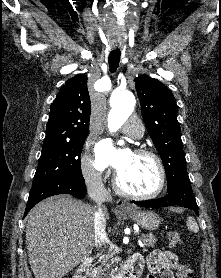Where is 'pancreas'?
Wrapping results in <instances>:
<instances>
[{
    "label": "pancreas",
    "instance_id": "1",
    "mask_svg": "<svg viewBox=\"0 0 221 278\" xmlns=\"http://www.w3.org/2000/svg\"><path fill=\"white\" fill-rule=\"evenodd\" d=\"M142 241L145 245L148 247L154 248L157 242L156 237L153 234H143L142 235ZM112 256H110L111 258ZM119 257H112L110 262H103L99 267L95 269V273H97L96 278H100V276L105 275L104 272L108 270L112 263L118 264Z\"/></svg>",
    "mask_w": 221,
    "mask_h": 278
}]
</instances>
